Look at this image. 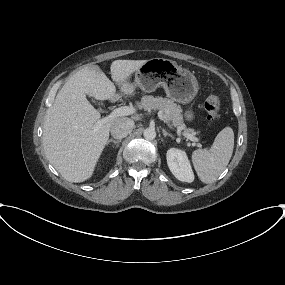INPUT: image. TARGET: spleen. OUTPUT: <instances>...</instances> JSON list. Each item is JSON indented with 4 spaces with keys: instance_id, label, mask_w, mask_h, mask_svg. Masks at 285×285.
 <instances>
[{
    "instance_id": "1",
    "label": "spleen",
    "mask_w": 285,
    "mask_h": 285,
    "mask_svg": "<svg viewBox=\"0 0 285 285\" xmlns=\"http://www.w3.org/2000/svg\"><path fill=\"white\" fill-rule=\"evenodd\" d=\"M233 148V129L225 127L217 134L209 150L197 149L192 153V163L203 183L210 184L216 181L228 165Z\"/></svg>"
}]
</instances>
